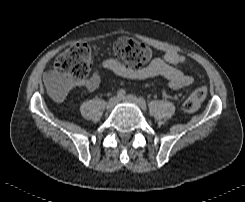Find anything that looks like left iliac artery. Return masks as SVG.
Instances as JSON below:
<instances>
[{
  "label": "left iliac artery",
  "mask_w": 245,
  "mask_h": 202,
  "mask_svg": "<svg viewBox=\"0 0 245 202\" xmlns=\"http://www.w3.org/2000/svg\"><path fill=\"white\" fill-rule=\"evenodd\" d=\"M139 104H140L142 109H144V110L147 109L146 102H145L143 97H139Z\"/></svg>",
  "instance_id": "obj_1"
}]
</instances>
